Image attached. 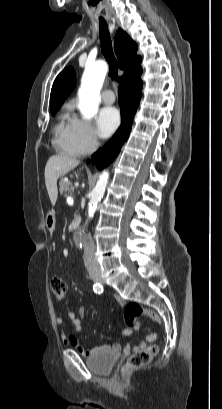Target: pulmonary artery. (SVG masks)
Instances as JSON below:
<instances>
[{"mask_svg": "<svg viewBox=\"0 0 222 409\" xmlns=\"http://www.w3.org/2000/svg\"><path fill=\"white\" fill-rule=\"evenodd\" d=\"M101 98L105 104H112L115 101V96L112 90L103 91Z\"/></svg>", "mask_w": 222, "mask_h": 409, "instance_id": "obj_1", "label": "pulmonary artery"}]
</instances>
